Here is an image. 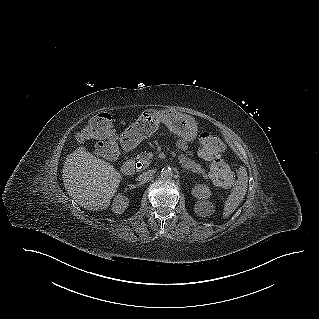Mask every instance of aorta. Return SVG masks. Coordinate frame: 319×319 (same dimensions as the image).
I'll use <instances>...</instances> for the list:
<instances>
[{
	"mask_svg": "<svg viewBox=\"0 0 319 319\" xmlns=\"http://www.w3.org/2000/svg\"><path fill=\"white\" fill-rule=\"evenodd\" d=\"M173 176V170L170 167H164L161 171V177L165 180L171 179Z\"/></svg>",
	"mask_w": 319,
	"mask_h": 319,
	"instance_id": "762f6f07",
	"label": "aorta"
}]
</instances>
